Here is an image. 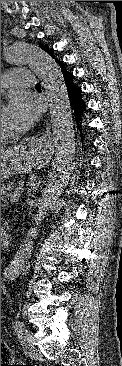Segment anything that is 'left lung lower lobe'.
Wrapping results in <instances>:
<instances>
[{
	"label": "left lung lower lobe",
	"mask_w": 122,
	"mask_h": 366,
	"mask_svg": "<svg viewBox=\"0 0 122 366\" xmlns=\"http://www.w3.org/2000/svg\"><path fill=\"white\" fill-rule=\"evenodd\" d=\"M58 63L68 92L70 104L74 110L75 119L79 124V119L83 112L86 111V104L83 100L82 90L73 83L74 76L71 72L67 71L63 61L56 60Z\"/></svg>",
	"instance_id": "left-lung-lower-lobe-1"
}]
</instances>
